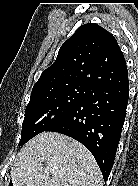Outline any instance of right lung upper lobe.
<instances>
[{
  "mask_svg": "<svg viewBox=\"0 0 138 186\" xmlns=\"http://www.w3.org/2000/svg\"><path fill=\"white\" fill-rule=\"evenodd\" d=\"M126 81L127 66L117 40L101 26L87 23L64 42L32 93L69 85L118 86Z\"/></svg>",
  "mask_w": 138,
  "mask_h": 186,
  "instance_id": "1",
  "label": "right lung upper lobe"
}]
</instances>
